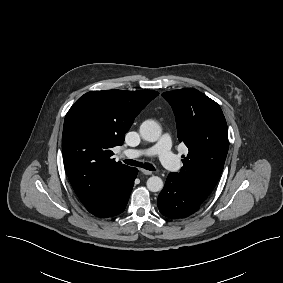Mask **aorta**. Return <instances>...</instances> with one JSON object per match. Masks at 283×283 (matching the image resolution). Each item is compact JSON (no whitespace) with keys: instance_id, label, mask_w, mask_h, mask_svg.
<instances>
[{"instance_id":"1","label":"aorta","mask_w":283,"mask_h":283,"mask_svg":"<svg viewBox=\"0 0 283 283\" xmlns=\"http://www.w3.org/2000/svg\"><path fill=\"white\" fill-rule=\"evenodd\" d=\"M162 130L160 125L154 120H146L140 126L141 137L149 142H155L161 136ZM147 188L151 192H159L163 189V181L158 176H151L147 180Z\"/></svg>"}]
</instances>
